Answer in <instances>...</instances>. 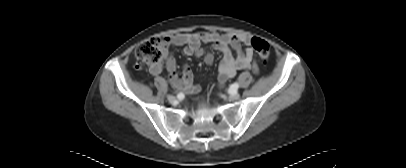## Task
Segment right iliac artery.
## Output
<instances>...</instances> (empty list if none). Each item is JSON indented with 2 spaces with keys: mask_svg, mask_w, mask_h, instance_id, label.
Returning <instances> with one entry per match:
<instances>
[{
  "mask_svg": "<svg viewBox=\"0 0 406 168\" xmlns=\"http://www.w3.org/2000/svg\"><path fill=\"white\" fill-rule=\"evenodd\" d=\"M182 96V94H178V97Z\"/></svg>",
  "mask_w": 406,
  "mask_h": 168,
  "instance_id": "right-iliac-artery-1",
  "label": "right iliac artery"
}]
</instances>
